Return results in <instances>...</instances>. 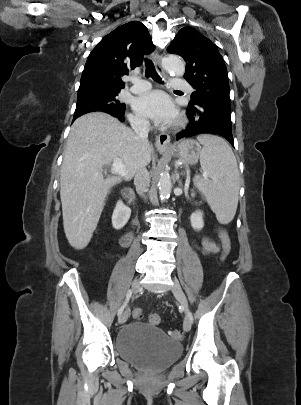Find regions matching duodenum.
<instances>
[{
	"label": "duodenum",
	"instance_id": "obj_1",
	"mask_svg": "<svg viewBox=\"0 0 301 405\" xmlns=\"http://www.w3.org/2000/svg\"><path fill=\"white\" fill-rule=\"evenodd\" d=\"M122 195L128 204L132 205L134 203V195L130 189L123 190ZM130 237H131V232H129L127 235H125V237L123 238V244H127Z\"/></svg>",
	"mask_w": 301,
	"mask_h": 405
}]
</instances>
